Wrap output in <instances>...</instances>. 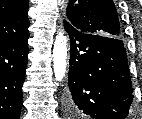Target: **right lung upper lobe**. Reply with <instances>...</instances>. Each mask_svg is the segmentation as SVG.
Wrapping results in <instances>:
<instances>
[{
    "label": "right lung upper lobe",
    "instance_id": "right-lung-upper-lobe-1",
    "mask_svg": "<svg viewBox=\"0 0 142 119\" xmlns=\"http://www.w3.org/2000/svg\"><path fill=\"white\" fill-rule=\"evenodd\" d=\"M29 0H0V45L28 34Z\"/></svg>",
    "mask_w": 142,
    "mask_h": 119
}]
</instances>
